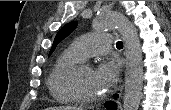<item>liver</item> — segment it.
Returning <instances> with one entry per match:
<instances>
[{
	"label": "liver",
	"mask_w": 171,
	"mask_h": 110,
	"mask_svg": "<svg viewBox=\"0 0 171 110\" xmlns=\"http://www.w3.org/2000/svg\"><path fill=\"white\" fill-rule=\"evenodd\" d=\"M46 110H83L81 107L74 106H60V107H50Z\"/></svg>",
	"instance_id": "1"
}]
</instances>
